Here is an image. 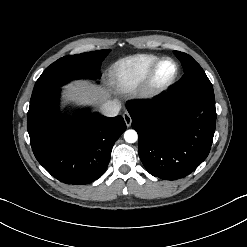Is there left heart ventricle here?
Here are the masks:
<instances>
[{
	"instance_id": "obj_1",
	"label": "left heart ventricle",
	"mask_w": 247,
	"mask_h": 247,
	"mask_svg": "<svg viewBox=\"0 0 247 247\" xmlns=\"http://www.w3.org/2000/svg\"><path fill=\"white\" fill-rule=\"evenodd\" d=\"M176 72V66L172 61H163L157 68L154 75V84L163 85L170 81Z\"/></svg>"
}]
</instances>
